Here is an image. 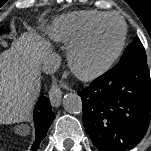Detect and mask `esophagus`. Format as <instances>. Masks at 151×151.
Instances as JSON below:
<instances>
[{
  "label": "esophagus",
  "instance_id": "obj_1",
  "mask_svg": "<svg viewBox=\"0 0 151 151\" xmlns=\"http://www.w3.org/2000/svg\"><path fill=\"white\" fill-rule=\"evenodd\" d=\"M49 98L53 106L58 107L60 105L62 92L58 85L51 86L49 89Z\"/></svg>",
  "mask_w": 151,
  "mask_h": 151
}]
</instances>
